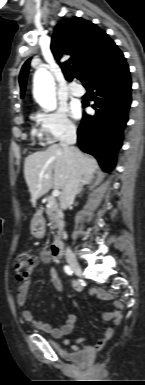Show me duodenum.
<instances>
[{
  "label": "duodenum",
  "mask_w": 145,
  "mask_h": 385,
  "mask_svg": "<svg viewBox=\"0 0 145 385\" xmlns=\"http://www.w3.org/2000/svg\"><path fill=\"white\" fill-rule=\"evenodd\" d=\"M40 221H34L35 224H38ZM63 252V243L61 240H56L51 247V254L55 258H59Z\"/></svg>",
  "instance_id": "1"
}]
</instances>
